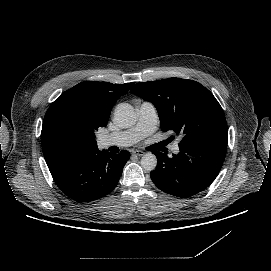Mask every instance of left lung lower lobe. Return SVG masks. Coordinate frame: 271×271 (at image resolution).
<instances>
[{
	"mask_svg": "<svg viewBox=\"0 0 271 271\" xmlns=\"http://www.w3.org/2000/svg\"><path fill=\"white\" fill-rule=\"evenodd\" d=\"M180 153L168 158L154 152L158 167L151 179L162 191L189 197L206 189L218 175L227 150V144L205 142L198 146H179Z\"/></svg>",
	"mask_w": 271,
	"mask_h": 271,
	"instance_id": "left-lung-lower-lobe-1",
	"label": "left lung lower lobe"
}]
</instances>
